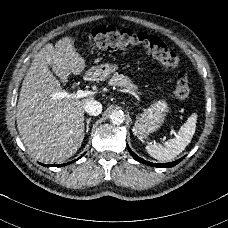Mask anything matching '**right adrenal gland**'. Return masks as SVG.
Here are the masks:
<instances>
[{
	"label": "right adrenal gland",
	"instance_id": "right-adrenal-gland-1",
	"mask_svg": "<svg viewBox=\"0 0 228 228\" xmlns=\"http://www.w3.org/2000/svg\"><path fill=\"white\" fill-rule=\"evenodd\" d=\"M91 118L86 119V133L89 131V124H90Z\"/></svg>",
	"mask_w": 228,
	"mask_h": 228
}]
</instances>
